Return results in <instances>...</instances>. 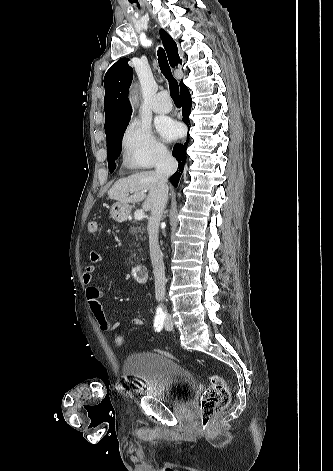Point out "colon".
Listing matches in <instances>:
<instances>
[{"instance_id":"5ec220e1","label":"colon","mask_w":333,"mask_h":471,"mask_svg":"<svg viewBox=\"0 0 333 471\" xmlns=\"http://www.w3.org/2000/svg\"><path fill=\"white\" fill-rule=\"evenodd\" d=\"M98 230V223L90 221L88 223V231L95 234ZM113 342L116 346L122 347L125 344V337L122 334L114 335ZM157 353L162 354L170 359L180 361L176 356L164 350H158ZM230 401L229 389L219 375L210 376V384L204 391L201 398L200 407V425L204 431L211 428L212 422L217 413L225 409Z\"/></svg>"}]
</instances>
